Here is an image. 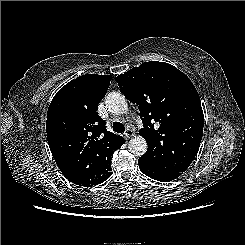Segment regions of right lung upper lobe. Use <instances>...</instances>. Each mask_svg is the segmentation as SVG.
I'll return each instance as SVG.
<instances>
[{"mask_svg":"<svg viewBox=\"0 0 245 245\" xmlns=\"http://www.w3.org/2000/svg\"><path fill=\"white\" fill-rule=\"evenodd\" d=\"M112 76L86 74L67 83L52 99L46 131L51 153L58 166H73L81 186L101 182L95 169L96 151H109L124 143L121 136L106 130L97 114Z\"/></svg>","mask_w":245,"mask_h":245,"instance_id":"cb5924a9","label":"right lung upper lobe"}]
</instances>
